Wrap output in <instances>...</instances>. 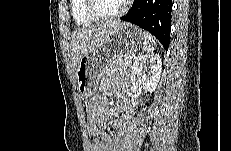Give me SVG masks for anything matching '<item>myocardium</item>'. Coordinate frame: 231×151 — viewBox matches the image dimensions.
Segmentation results:
<instances>
[{"label":"myocardium","mask_w":231,"mask_h":151,"mask_svg":"<svg viewBox=\"0 0 231 151\" xmlns=\"http://www.w3.org/2000/svg\"><path fill=\"white\" fill-rule=\"evenodd\" d=\"M130 1H124L121 9L112 15H106V16H100L96 13L95 11V4H94V0H85V10L86 13L88 14V16L93 19L95 22H111V21H115L119 18H121L122 16H124L128 10Z\"/></svg>","instance_id":"myocardium-1"}]
</instances>
